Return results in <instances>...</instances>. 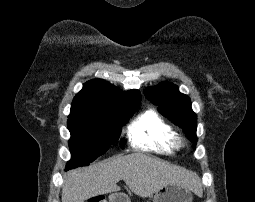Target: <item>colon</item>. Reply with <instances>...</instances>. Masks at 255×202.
<instances>
[{
  "instance_id": "5ec220e1",
  "label": "colon",
  "mask_w": 255,
  "mask_h": 202,
  "mask_svg": "<svg viewBox=\"0 0 255 202\" xmlns=\"http://www.w3.org/2000/svg\"><path fill=\"white\" fill-rule=\"evenodd\" d=\"M89 202H103L101 198H93Z\"/></svg>"
}]
</instances>
